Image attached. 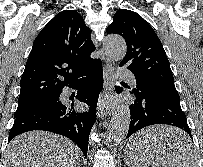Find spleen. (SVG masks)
<instances>
[{
    "label": "spleen",
    "instance_id": "obj_1",
    "mask_svg": "<svg viewBox=\"0 0 203 167\" xmlns=\"http://www.w3.org/2000/svg\"><path fill=\"white\" fill-rule=\"evenodd\" d=\"M127 149L130 160H125V162L128 167H198L196 163V156L192 150L187 153L186 160L169 163L159 157L158 150L155 149V146L143 144L142 147H139L129 144ZM153 149L157 151V155L153 153Z\"/></svg>",
    "mask_w": 203,
    "mask_h": 167
}]
</instances>
